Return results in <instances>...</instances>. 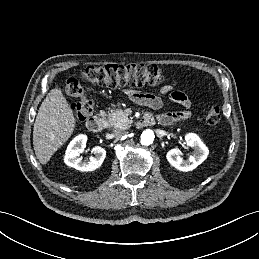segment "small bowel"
Segmentation results:
<instances>
[{
    "mask_svg": "<svg viewBox=\"0 0 259 259\" xmlns=\"http://www.w3.org/2000/svg\"><path fill=\"white\" fill-rule=\"evenodd\" d=\"M127 93L130 99L137 104L145 105L155 110L161 108L162 106L161 99L155 95L137 91H127ZM160 93L170 94L172 101L180 104L185 108V110L181 112L165 113L159 115L157 119L160 123L168 125L188 118L190 101L184 93L174 90L171 85H164L161 88Z\"/></svg>",
    "mask_w": 259,
    "mask_h": 259,
    "instance_id": "small-bowel-1",
    "label": "small bowel"
}]
</instances>
